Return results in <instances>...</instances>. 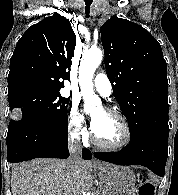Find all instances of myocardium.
Returning a JSON list of instances; mask_svg holds the SVG:
<instances>
[{"label": "myocardium", "instance_id": "obj_1", "mask_svg": "<svg viewBox=\"0 0 178 195\" xmlns=\"http://www.w3.org/2000/svg\"><path fill=\"white\" fill-rule=\"evenodd\" d=\"M104 111L105 113L117 118L120 121L121 125L123 126L125 135H124L123 140L117 144H106V143L101 142L93 131L92 140L94 144L100 148H103L106 150H112V151L120 150L126 147L130 143L131 138H132V131H131L130 125L128 124L126 118L121 113H119L113 108H105Z\"/></svg>", "mask_w": 178, "mask_h": 195}]
</instances>
